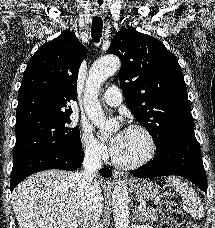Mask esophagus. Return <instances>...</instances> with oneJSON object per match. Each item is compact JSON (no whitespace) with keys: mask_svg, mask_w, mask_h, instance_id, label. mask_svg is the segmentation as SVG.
Instances as JSON below:
<instances>
[{"mask_svg":"<svg viewBox=\"0 0 215 228\" xmlns=\"http://www.w3.org/2000/svg\"><path fill=\"white\" fill-rule=\"evenodd\" d=\"M113 176H114L115 178H120L121 176H123V172L114 170V171H113Z\"/></svg>","mask_w":215,"mask_h":228,"instance_id":"esophagus-1","label":"esophagus"}]
</instances>
